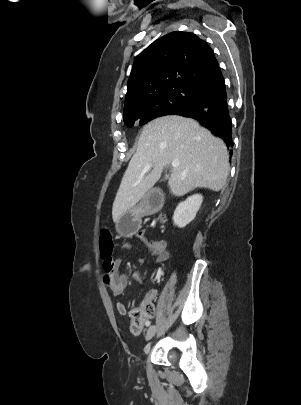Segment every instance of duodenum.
<instances>
[{
    "label": "duodenum",
    "instance_id": "duodenum-1",
    "mask_svg": "<svg viewBox=\"0 0 301 405\" xmlns=\"http://www.w3.org/2000/svg\"><path fill=\"white\" fill-rule=\"evenodd\" d=\"M163 190H144L140 205V218L150 219L152 213H161L166 206Z\"/></svg>",
    "mask_w": 301,
    "mask_h": 405
}]
</instances>
